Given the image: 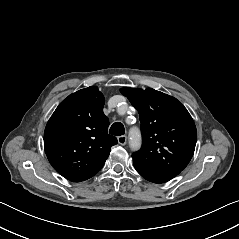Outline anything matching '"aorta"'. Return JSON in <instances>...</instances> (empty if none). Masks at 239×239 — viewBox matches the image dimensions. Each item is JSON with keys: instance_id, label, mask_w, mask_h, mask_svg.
Instances as JSON below:
<instances>
[{"instance_id": "1", "label": "aorta", "mask_w": 239, "mask_h": 239, "mask_svg": "<svg viewBox=\"0 0 239 239\" xmlns=\"http://www.w3.org/2000/svg\"><path fill=\"white\" fill-rule=\"evenodd\" d=\"M130 135V147L134 150L139 149L141 143V135L138 130L132 129Z\"/></svg>"}]
</instances>
